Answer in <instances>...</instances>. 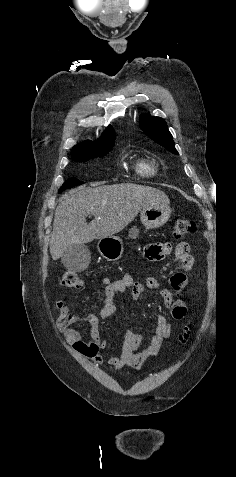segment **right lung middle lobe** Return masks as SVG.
<instances>
[{"label":"right lung middle lobe","instance_id":"obj_1","mask_svg":"<svg viewBox=\"0 0 236 477\" xmlns=\"http://www.w3.org/2000/svg\"><path fill=\"white\" fill-rule=\"evenodd\" d=\"M111 150V148H108V149H102L100 151H97L93 154H90V155H84V156H79V157H75L73 158L74 160L76 161H87L89 160L91 157H103L105 156L109 151ZM83 182H79L78 180L76 179H68L67 181L64 182V184L61 186L60 190H59V193L64 191L65 189H69V188H72L73 186L75 185H80L82 184Z\"/></svg>","mask_w":236,"mask_h":477}]
</instances>
